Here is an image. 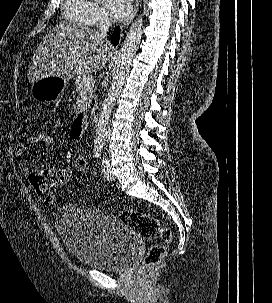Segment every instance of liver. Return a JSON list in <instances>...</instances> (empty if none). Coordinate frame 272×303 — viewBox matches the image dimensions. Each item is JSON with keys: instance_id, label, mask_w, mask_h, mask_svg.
Instances as JSON below:
<instances>
[{"instance_id": "6515ba94", "label": "liver", "mask_w": 272, "mask_h": 303, "mask_svg": "<svg viewBox=\"0 0 272 303\" xmlns=\"http://www.w3.org/2000/svg\"><path fill=\"white\" fill-rule=\"evenodd\" d=\"M110 49L98 31L84 25L61 23L39 44L28 79L34 83L42 78L64 77L73 69L78 74L100 71Z\"/></svg>"}]
</instances>
